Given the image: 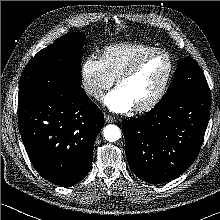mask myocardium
Segmentation results:
<instances>
[{"label":"myocardium","mask_w":220,"mask_h":220,"mask_svg":"<svg viewBox=\"0 0 220 220\" xmlns=\"http://www.w3.org/2000/svg\"><path fill=\"white\" fill-rule=\"evenodd\" d=\"M157 54H162L165 55L169 61V69H168V73L166 75V78L162 84V86L159 88V90L157 91V93L148 101L135 106V110L138 112H143V111H148L152 108H154L155 106H157L162 99L164 98L175 73V62L174 59L172 57V55L164 50V49H160V48H155L153 50H150L144 54H142L140 57H138L134 62H132V64L125 69L122 73L119 74V76L116 78V84L119 86V84L124 81L125 79H128L132 76H134L141 68L142 64L151 56L153 55H157Z\"/></svg>","instance_id":"1"}]
</instances>
